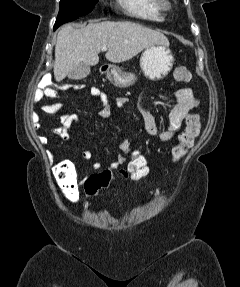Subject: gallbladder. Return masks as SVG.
I'll list each match as a JSON object with an SVG mask.
<instances>
[{
	"label": "gallbladder",
	"mask_w": 240,
	"mask_h": 287,
	"mask_svg": "<svg viewBox=\"0 0 240 287\" xmlns=\"http://www.w3.org/2000/svg\"><path fill=\"white\" fill-rule=\"evenodd\" d=\"M90 73V66L85 63H80L77 67L68 73V78L72 80H81L86 78Z\"/></svg>",
	"instance_id": "gallbladder-1"
}]
</instances>
